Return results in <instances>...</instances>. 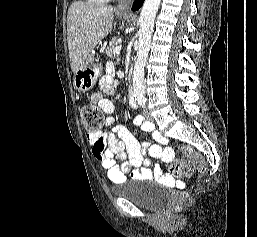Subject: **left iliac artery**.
<instances>
[{"label": "left iliac artery", "instance_id": "44dca946", "mask_svg": "<svg viewBox=\"0 0 257 237\" xmlns=\"http://www.w3.org/2000/svg\"><path fill=\"white\" fill-rule=\"evenodd\" d=\"M140 105H141L142 107H145V102H140Z\"/></svg>", "mask_w": 257, "mask_h": 237}]
</instances>
